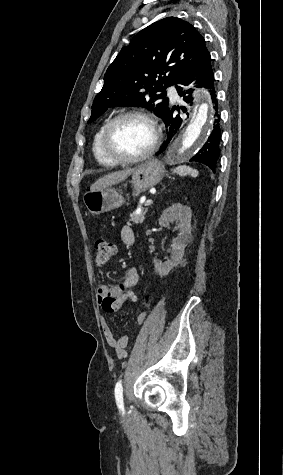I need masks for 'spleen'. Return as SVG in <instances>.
I'll use <instances>...</instances> for the list:
<instances>
[{
	"instance_id": "1",
	"label": "spleen",
	"mask_w": 283,
	"mask_h": 475,
	"mask_svg": "<svg viewBox=\"0 0 283 475\" xmlns=\"http://www.w3.org/2000/svg\"><path fill=\"white\" fill-rule=\"evenodd\" d=\"M173 174H178V176H191V178H197V170H193L190 166H178L172 170Z\"/></svg>"
}]
</instances>
